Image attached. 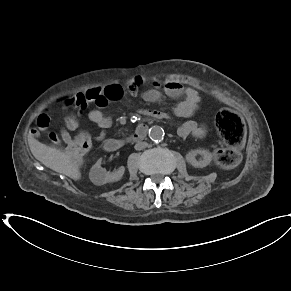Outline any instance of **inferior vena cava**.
I'll return each instance as SVG.
<instances>
[{
    "label": "inferior vena cava",
    "mask_w": 291,
    "mask_h": 291,
    "mask_svg": "<svg viewBox=\"0 0 291 291\" xmlns=\"http://www.w3.org/2000/svg\"><path fill=\"white\" fill-rule=\"evenodd\" d=\"M147 146H148L147 142H138L135 144L134 148L139 151L146 148Z\"/></svg>",
    "instance_id": "602c4592"
}]
</instances>
